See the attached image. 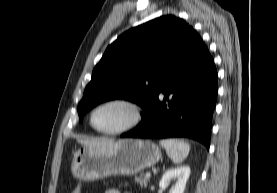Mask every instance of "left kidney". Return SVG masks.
Instances as JSON below:
<instances>
[{
  "label": "left kidney",
  "instance_id": "obj_1",
  "mask_svg": "<svg viewBox=\"0 0 277 193\" xmlns=\"http://www.w3.org/2000/svg\"><path fill=\"white\" fill-rule=\"evenodd\" d=\"M190 176V167L188 165L179 166L167 170L160 182L159 186L165 188L171 180H176L175 186L170 190L169 193H183L185 190L186 182Z\"/></svg>",
  "mask_w": 277,
  "mask_h": 193
}]
</instances>
